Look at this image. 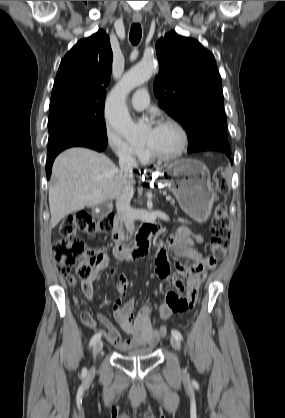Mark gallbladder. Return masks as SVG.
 <instances>
[{
	"label": "gallbladder",
	"instance_id": "bac80fb5",
	"mask_svg": "<svg viewBox=\"0 0 285 418\" xmlns=\"http://www.w3.org/2000/svg\"><path fill=\"white\" fill-rule=\"evenodd\" d=\"M101 209H103V210H105V211H107L108 210V207L106 206V205H101V207H100Z\"/></svg>",
	"mask_w": 285,
	"mask_h": 418
}]
</instances>
